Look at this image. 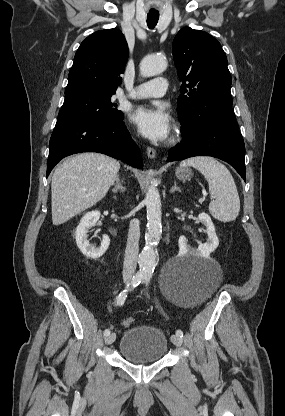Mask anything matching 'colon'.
I'll return each mask as SVG.
<instances>
[{"label": "colon", "mask_w": 285, "mask_h": 416, "mask_svg": "<svg viewBox=\"0 0 285 416\" xmlns=\"http://www.w3.org/2000/svg\"><path fill=\"white\" fill-rule=\"evenodd\" d=\"M134 323V319L132 317L125 318L122 321V325L125 327H130Z\"/></svg>", "instance_id": "colon-1"}]
</instances>
